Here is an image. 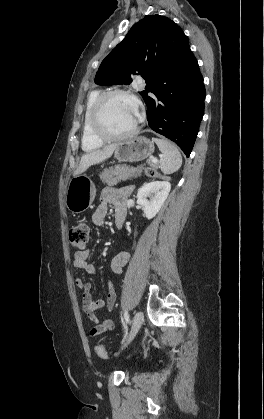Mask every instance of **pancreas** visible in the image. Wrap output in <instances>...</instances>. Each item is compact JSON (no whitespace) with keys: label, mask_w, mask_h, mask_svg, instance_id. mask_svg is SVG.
<instances>
[{"label":"pancreas","mask_w":264,"mask_h":419,"mask_svg":"<svg viewBox=\"0 0 264 419\" xmlns=\"http://www.w3.org/2000/svg\"><path fill=\"white\" fill-rule=\"evenodd\" d=\"M147 164L151 167L157 168V165L153 163L151 159L147 160ZM143 170L146 171L144 166L134 168L125 165H116L115 167L104 169V171L99 174V177L104 184L108 187H112L117 185L121 180L125 181L140 176Z\"/></svg>","instance_id":"obj_1"}]
</instances>
